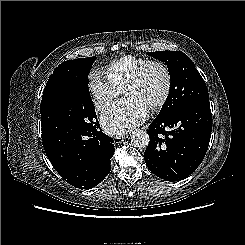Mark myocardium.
Masks as SVG:
<instances>
[{
    "instance_id": "f54148a6",
    "label": "myocardium",
    "mask_w": 245,
    "mask_h": 245,
    "mask_svg": "<svg viewBox=\"0 0 245 245\" xmlns=\"http://www.w3.org/2000/svg\"><path fill=\"white\" fill-rule=\"evenodd\" d=\"M152 66L160 67L163 70L165 76V87L161 97L158 99V101H156L154 104H152L149 107L151 110H159L167 102L172 86V76H171L170 69L167 66V64L164 63L163 61L149 60L127 81V83L123 87V91L129 87H133L138 83H140V81L143 79L144 75L146 74L147 70Z\"/></svg>"
}]
</instances>
